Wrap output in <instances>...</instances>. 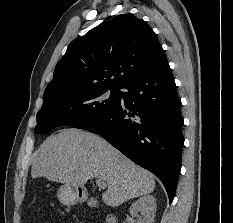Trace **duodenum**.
Listing matches in <instances>:
<instances>
[{
	"instance_id": "1",
	"label": "duodenum",
	"mask_w": 233,
	"mask_h": 223,
	"mask_svg": "<svg viewBox=\"0 0 233 223\" xmlns=\"http://www.w3.org/2000/svg\"><path fill=\"white\" fill-rule=\"evenodd\" d=\"M77 198L79 201L84 202L88 205V207L92 209H98L99 208V202L96 198L91 197L88 195L86 191H79L77 194ZM105 222L106 223H118L116 217L111 214H107L105 216Z\"/></svg>"
}]
</instances>
